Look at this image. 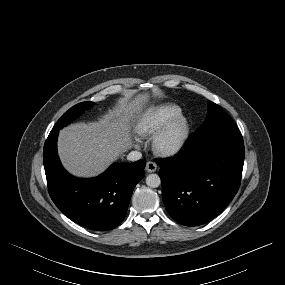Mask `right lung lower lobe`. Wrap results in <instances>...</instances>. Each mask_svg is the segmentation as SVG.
I'll use <instances>...</instances> for the list:
<instances>
[{
	"mask_svg": "<svg viewBox=\"0 0 285 285\" xmlns=\"http://www.w3.org/2000/svg\"><path fill=\"white\" fill-rule=\"evenodd\" d=\"M59 129L53 128L45 142L43 162L51 199L72 221L91 230L117 227L124 219L136 184L144 177L146 161L113 164L91 179L72 177L57 154Z\"/></svg>",
	"mask_w": 285,
	"mask_h": 285,
	"instance_id": "obj_1",
	"label": "right lung lower lobe"
}]
</instances>
